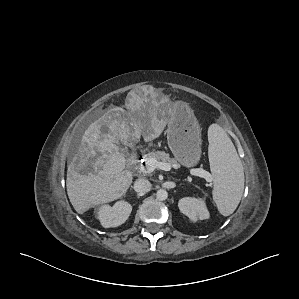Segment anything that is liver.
Wrapping results in <instances>:
<instances>
[{"mask_svg":"<svg viewBox=\"0 0 299 299\" xmlns=\"http://www.w3.org/2000/svg\"><path fill=\"white\" fill-rule=\"evenodd\" d=\"M148 102V103H147ZM123 107H113L84 132L77 154L68 164L66 187L77 213L121 198L129 189L133 175L125 157L115 144L121 141L133 147L141 137L151 141L160 136L165 122L159 119L155 104L140 99L127 100ZM107 126L109 131L102 132Z\"/></svg>","mask_w":299,"mask_h":299,"instance_id":"liver-1","label":"liver"}]
</instances>
